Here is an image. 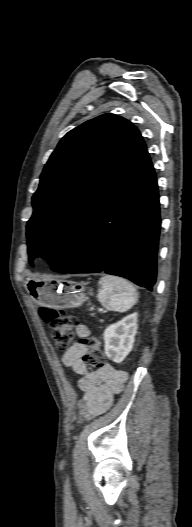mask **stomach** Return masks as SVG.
<instances>
[{
    "label": "stomach",
    "instance_id": "obj_1",
    "mask_svg": "<svg viewBox=\"0 0 192 527\" xmlns=\"http://www.w3.org/2000/svg\"><path fill=\"white\" fill-rule=\"evenodd\" d=\"M26 288L36 304L52 309L80 307L87 300L83 283L70 280L29 279Z\"/></svg>",
    "mask_w": 192,
    "mask_h": 527
}]
</instances>
